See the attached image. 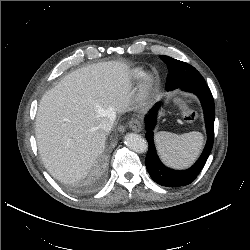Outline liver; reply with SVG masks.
<instances>
[{"instance_id": "6515ba94", "label": "liver", "mask_w": 250, "mask_h": 250, "mask_svg": "<svg viewBox=\"0 0 250 250\" xmlns=\"http://www.w3.org/2000/svg\"><path fill=\"white\" fill-rule=\"evenodd\" d=\"M128 65L108 61L66 75L40 100L35 122L38 150L57 180L83 179L105 148L100 123L129 109L132 93Z\"/></svg>"}]
</instances>
